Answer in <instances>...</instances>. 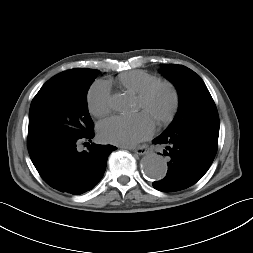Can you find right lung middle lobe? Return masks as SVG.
Returning a JSON list of instances; mask_svg holds the SVG:
<instances>
[{"label": "right lung middle lobe", "instance_id": "right-lung-middle-lobe-1", "mask_svg": "<svg viewBox=\"0 0 253 253\" xmlns=\"http://www.w3.org/2000/svg\"><path fill=\"white\" fill-rule=\"evenodd\" d=\"M97 74L95 69H71L42 86L29 111L27 142L31 160L79 140L93 129L86 97Z\"/></svg>", "mask_w": 253, "mask_h": 253}]
</instances>
